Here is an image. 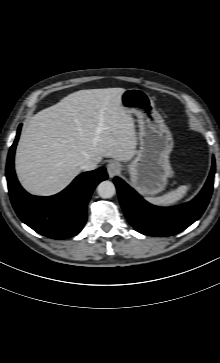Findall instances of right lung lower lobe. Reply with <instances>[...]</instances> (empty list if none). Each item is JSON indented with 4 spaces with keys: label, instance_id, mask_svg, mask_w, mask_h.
Returning a JSON list of instances; mask_svg holds the SVG:
<instances>
[{
    "label": "right lung lower lobe",
    "instance_id": "obj_1",
    "mask_svg": "<svg viewBox=\"0 0 220 363\" xmlns=\"http://www.w3.org/2000/svg\"><path fill=\"white\" fill-rule=\"evenodd\" d=\"M22 124L10 148L6 177L13 207L19 218L36 232L52 238L66 239L78 234L87 219L86 209L91 193L98 183L107 179L105 168L79 175L65 190L38 197L27 193L14 172V153Z\"/></svg>",
    "mask_w": 220,
    "mask_h": 363
}]
</instances>
